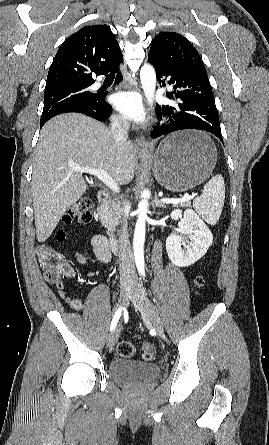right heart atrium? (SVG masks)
<instances>
[{
    "label": "right heart atrium",
    "mask_w": 269,
    "mask_h": 445,
    "mask_svg": "<svg viewBox=\"0 0 269 445\" xmlns=\"http://www.w3.org/2000/svg\"><path fill=\"white\" fill-rule=\"evenodd\" d=\"M114 122L117 125H123L124 124V120L120 116H114Z\"/></svg>",
    "instance_id": "1"
}]
</instances>
